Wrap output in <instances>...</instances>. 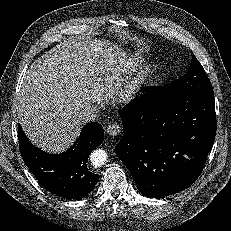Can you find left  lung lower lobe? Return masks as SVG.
<instances>
[{"mask_svg":"<svg viewBox=\"0 0 231 231\" xmlns=\"http://www.w3.org/2000/svg\"><path fill=\"white\" fill-rule=\"evenodd\" d=\"M154 89L121 112L125 129L115 150L138 190L161 198L187 189L201 174L216 134L213 92L158 100Z\"/></svg>","mask_w":231,"mask_h":231,"instance_id":"1","label":"left lung lower lobe"}]
</instances>
